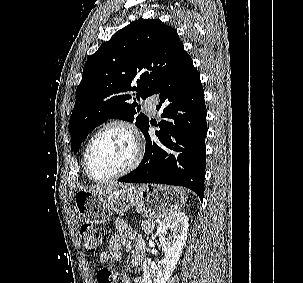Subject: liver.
I'll list each match as a JSON object with an SVG mask.
<instances>
[{
	"instance_id": "1",
	"label": "liver",
	"mask_w": 303,
	"mask_h": 283,
	"mask_svg": "<svg viewBox=\"0 0 303 283\" xmlns=\"http://www.w3.org/2000/svg\"><path fill=\"white\" fill-rule=\"evenodd\" d=\"M129 186H130L129 184L110 182V183L103 184L100 186H92L89 188H84L83 190L88 191L93 194H102L106 191L114 190V189L121 188V187H129Z\"/></svg>"
}]
</instances>
